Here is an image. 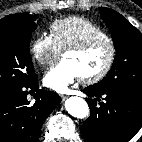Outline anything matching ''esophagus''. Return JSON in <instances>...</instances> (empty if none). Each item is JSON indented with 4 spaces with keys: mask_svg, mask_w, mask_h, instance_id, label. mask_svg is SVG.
<instances>
[{
    "mask_svg": "<svg viewBox=\"0 0 142 142\" xmlns=\"http://www.w3.org/2000/svg\"><path fill=\"white\" fill-rule=\"evenodd\" d=\"M60 97H61V100H62V101H64L65 99H67V98H68V96H67V95H63V94H62V95H60Z\"/></svg>",
    "mask_w": 142,
    "mask_h": 142,
    "instance_id": "1",
    "label": "esophagus"
}]
</instances>
